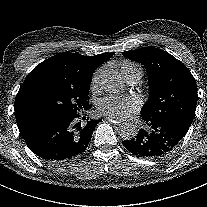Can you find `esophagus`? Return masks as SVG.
<instances>
[{"label": "esophagus", "instance_id": "34e87169", "mask_svg": "<svg viewBox=\"0 0 207 207\" xmlns=\"http://www.w3.org/2000/svg\"><path fill=\"white\" fill-rule=\"evenodd\" d=\"M108 121H111L113 126H118L120 124V119L118 117L106 116Z\"/></svg>", "mask_w": 207, "mask_h": 207}]
</instances>
